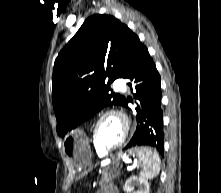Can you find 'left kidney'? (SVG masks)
Masks as SVG:
<instances>
[{
	"mask_svg": "<svg viewBox=\"0 0 221 193\" xmlns=\"http://www.w3.org/2000/svg\"><path fill=\"white\" fill-rule=\"evenodd\" d=\"M135 185L139 186V189L133 192ZM123 190L127 193H149L150 186L147 180L133 176L126 180Z\"/></svg>",
	"mask_w": 221,
	"mask_h": 193,
	"instance_id": "left-kidney-1",
	"label": "left kidney"
}]
</instances>
